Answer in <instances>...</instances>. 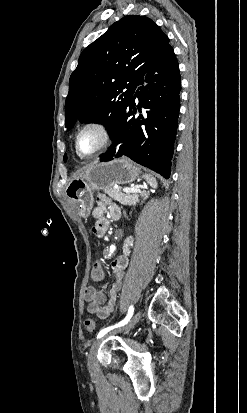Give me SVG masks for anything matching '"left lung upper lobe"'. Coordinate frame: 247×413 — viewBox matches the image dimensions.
Wrapping results in <instances>:
<instances>
[{
	"instance_id": "5c2ea615",
	"label": "left lung upper lobe",
	"mask_w": 247,
	"mask_h": 413,
	"mask_svg": "<svg viewBox=\"0 0 247 413\" xmlns=\"http://www.w3.org/2000/svg\"><path fill=\"white\" fill-rule=\"evenodd\" d=\"M170 47L169 38L148 17L128 15L111 25L83 50L70 76L66 127L77 120L100 123L112 136L137 82Z\"/></svg>"
}]
</instances>
